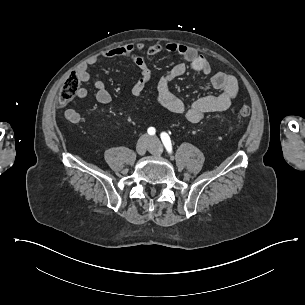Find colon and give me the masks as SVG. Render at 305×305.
<instances>
[{
  "instance_id": "obj_1",
  "label": "colon",
  "mask_w": 305,
  "mask_h": 305,
  "mask_svg": "<svg viewBox=\"0 0 305 305\" xmlns=\"http://www.w3.org/2000/svg\"><path fill=\"white\" fill-rule=\"evenodd\" d=\"M81 84V74L76 69H69L64 74V82L60 89L59 99L60 103L65 108H72L77 103V93ZM135 98V95H132ZM136 106V103H133ZM239 116L248 117L251 115L249 107H242L238 111Z\"/></svg>"
}]
</instances>
